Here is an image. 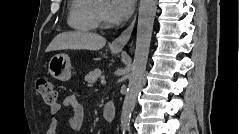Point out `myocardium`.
<instances>
[{
	"label": "myocardium",
	"mask_w": 239,
	"mask_h": 134,
	"mask_svg": "<svg viewBox=\"0 0 239 134\" xmlns=\"http://www.w3.org/2000/svg\"><path fill=\"white\" fill-rule=\"evenodd\" d=\"M95 14H96V19L98 25H100L103 28H108L110 26V23L106 19L103 10L99 4V1H97L96 6H95Z\"/></svg>",
	"instance_id": "myocardium-1"
}]
</instances>
